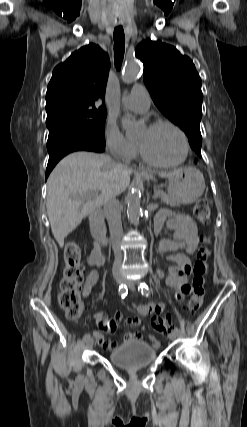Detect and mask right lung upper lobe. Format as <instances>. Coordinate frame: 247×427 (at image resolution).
Instances as JSON below:
<instances>
[{"mask_svg": "<svg viewBox=\"0 0 247 427\" xmlns=\"http://www.w3.org/2000/svg\"><path fill=\"white\" fill-rule=\"evenodd\" d=\"M109 67L108 55L95 44L72 53L53 70L46 93L47 114L64 107L95 106L99 97L104 99Z\"/></svg>", "mask_w": 247, "mask_h": 427, "instance_id": "cb5924a9", "label": "right lung upper lobe"}]
</instances>
